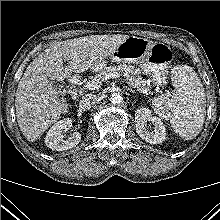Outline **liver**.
<instances>
[{"label":"liver","mask_w":220,"mask_h":220,"mask_svg":"<svg viewBox=\"0 0 220 220\" xmlns=\"http://www.w3.org/2000/svg\"><path fill=\"white\" fill-rule=\"evenodd\" d=\"M128 37L120 34L92 35L59 41L33 59L15 93L18 126L29 142L39 139L71 107L52 81H64L72 72L92 69L96 62L108 58ZM63 61H67L68 66H64Z\"/></svg>","instance_id":"1"}]
</instances>
